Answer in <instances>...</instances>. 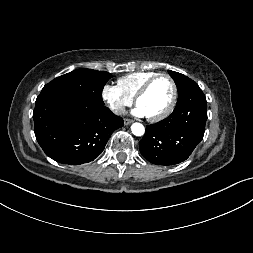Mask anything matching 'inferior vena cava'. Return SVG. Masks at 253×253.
Returning <instances> with one entry per match:
<instances>
[{"mask_svg":"<svg viewBox=\"0 0 253 253\" xmlns=\"http://www.w3.org/2000/svg\"><path fill=\"white\" fill-rule=\"evenodd\" d=\"M111 109L117 114H125L126 109L124 106L112 105Z\"/></svg>","mask_w":253,"mask_h":253,"instance_id":"1","label":"inferior vena cava"}]
</instances>
